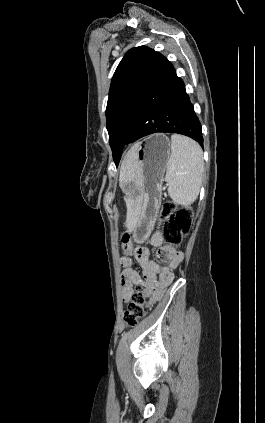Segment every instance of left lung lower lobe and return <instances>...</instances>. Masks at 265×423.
Segmentation results:
<instances>
[{
    "label": "left lung lower lobe",
    "mask_w": 265,
    "mask_h": 423,
    "mask_svg": "<svg viewBox=\"0 0 265 423\" xmlns=\"http://www.w3.org/2000/svg\"><path fill=\"white\" fill-rule=\"evenodd\" d=\"M157 132L183 134L203 147L201 124L185 85L160 53L136 98L125 145Z\"/></svg>",
    "instance_id": "left-lung-lower-lobe-1"
}]
</instances>
